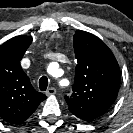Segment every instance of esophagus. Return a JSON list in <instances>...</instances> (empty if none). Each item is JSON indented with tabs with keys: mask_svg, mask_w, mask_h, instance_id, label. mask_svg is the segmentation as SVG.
<instances>
[{
	"mask_svg": "<svg viewBox=\"0 0 133 133\" xmlns=\"http://www.w3.org/2000/svg\"><path fill=\"white\" fill-rule=\"evenodd\" d=\"M55 94H56V89L53 88V87L47 89V91H46L47 96H52V95H55Z\"/></svg>",
	"mask_w": 133,
	"mask_h": 133,
	"instance_id": "34e87169",
	"label": "esophagus"
}]
</instances>
